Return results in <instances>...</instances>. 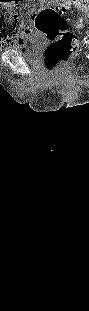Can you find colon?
Instances as JSON below:
<instances>
[{
	"instance_id": "obj_1",
	"label": "colon",
	"mask_w": 89,
	"mask_h": 311,
	"mask_svg": "<svg viewBox=\"0 0 89 311\" xmlns=\"http://www.w3.org/2000/svg\"><path fill=\"white\" fill-rule=\"evenodd\" d=\"M73 5L78 11L87 12L89 0H52L49 5L39 10L35 20V29L43 33L50 41L44 61L48 70H58L79 48V39L76 32L69 30L71 25L76 31L84 28V18H65ZM22 24L20 13L12 7H3L0 10V28L2 31L17 30Z\"/></svg>"
}]
</instances>
